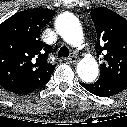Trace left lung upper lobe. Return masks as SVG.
<instances>
[{
  "label": "left lung upper lobe",
  "instance_id": "left-lung-upper-lobe-1",
  "mask_svg": "<svg viewBox=\"0 0 127 127\" xmlns=\"http://www.w3.org/2000/svg\"><path fill=\"white\" fill-rule=\"evenodd\" d=\"M96 26L97 54L104 55L100 76L114 79L127 86V20L104 7L91 13Z\"/></svg>",
  "mask_w": 127,
  "mask_h": 127
}]
</instances>
